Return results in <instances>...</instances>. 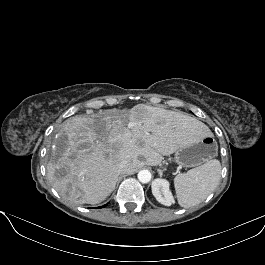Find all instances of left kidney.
Segmentation results:
<instances>
[{"label": "left kidney", "mask_w": 265, "mask_h": 265, "mask_svg": "<svg viewBox=\"0 0 265 265\" xmlns=\"http://www.w3.org/2000/svg\"><path fill=\"white\" fill-rule=\"evenodd\" d=\"M169 186V182L162 178H157L152 182V194L159 203L165 206H171L175 202Z\"/></svg>", "instance_id": "5707ae66"}]
</instances>
